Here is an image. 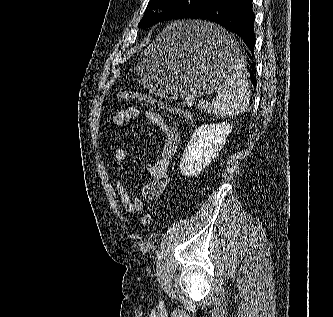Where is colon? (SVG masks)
<instances>
[{"mask_svg":"<svg viewBox=\"0 0 333 317\" xmlns=\"http://www.w3.org/2000/svg\"><path fill=\"white\" fill-rule=\"evenodd\" d=\"M117 97L119 99H127V100H135L140 103L149 105L153 108L160 109L163 111L170 112L172 114L184 117V118H189V114L179 108L173 107L171 105L165 104L161 102L160 100L146 94L140 91H135V90H127V91H122L117 94ZM142 224L144 227L148 228L152 224V214L150 212L146 213L143 218H142Z\"/></svg>","mask_w":333,"mask_h":317,"instance_id":"1","label":"colon"}]
</instances>
